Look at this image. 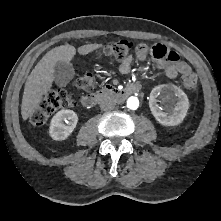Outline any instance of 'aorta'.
<instances>
[{
    "label": "aorta",
    "mask_w": 221,
    "mask_h": 221,
    "mask_svg": "<svg viewBox=\"0 0 221 221\" xmlns=\"http://www.w3.org/2000/svg\"><path fill=\"white\" fill-rule=\"evenodd\" d=\"M139 106V100L137 97L131 96L127 99V107L131 110H136Z\"/></svg>",
    "instance_id": "aorta-1"
}]
</instances>
